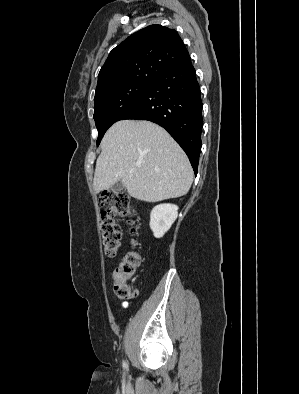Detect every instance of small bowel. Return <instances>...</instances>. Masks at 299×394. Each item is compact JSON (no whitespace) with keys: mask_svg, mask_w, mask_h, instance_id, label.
<instances>
[{"mask_svg":"<svg viewBox=\"0 0 299 394\" xmlns=\"http://www.w3.org/2000/svg\"><path fill=\"white\" fill-rule=\"evenodd\" d=\"M126 306H127V304H126V303H124V304H123V307H126Z\"/></svg>","mask_w":299,"mask_h":394,"instance_id":"c3829d8e","label":"small bowel"}]
</instances>
